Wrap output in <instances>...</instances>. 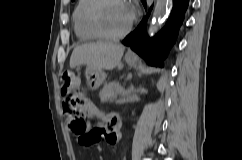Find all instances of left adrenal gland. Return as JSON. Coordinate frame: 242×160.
I'll return each mask as SVG.
<instances>
[{"label": "left adrenal gland", "mask_w": 242, "mask_h": 160, "mask_svg": "<svg viewBox=\"0 0 242 160\" xmlns=\"http://www.w3.org/2000/svg\"><path fill=\"white\" fill-rule=\"evenodd\" d=\"M137 97H138V95L136 94V93H133V94H131V95H127V101H133V100H135V99H137Z\"/></svg>", "instance_id": "1"}]
</instances>
